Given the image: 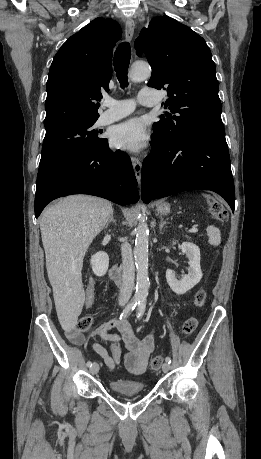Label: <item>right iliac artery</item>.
<instances>
[{"mask_svg": "<svg viewBox=\"0 0 261 459\" xmlns=\"http://www.w3.org/2000/svg\"><path fill=\"white\" fill-rule=\"evenodd\" d=\"M138 303H139V301L136 300V299L131 300L128 303V305L124 308L123 312L121 313L120 319L128 317L131 314V312L135 309V307L137 306ZM87 366L91 367L92 366V362L88 361L87 362Z\"/></svg>", "mask_w": 261, "mask_h": 459, "instance_id": "1", "label": "right iliac artery"}]
</instances>
